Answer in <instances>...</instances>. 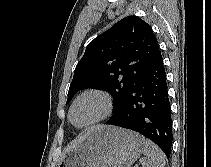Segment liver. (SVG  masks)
Wrapping results in <instances>:
<instances>
[{
    "label": "liver",
    "mask_w": 211,
    "mask_h": 167,
    "mask_svg": "<svg viewBox=\"0 0 211 167\" xmlns=\"http://www.w3.org/2000/svg\"><path fill=\"white\" fill-rule=\"evenodd\" d=\"M99 127V126H96ZM96 127H92L90 130L96 128ZM88 130L86 133H84L82 136H80L77 140H75L73 143H71L70 145L67 146V148L65 149V153L68 152L69 150H71L72 148H74L75 146H77L82 139L84 138V136L90 131Z\"/></svg>",
    "instance_id": "6515ba94"
}]
</instances>
